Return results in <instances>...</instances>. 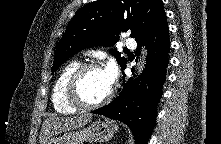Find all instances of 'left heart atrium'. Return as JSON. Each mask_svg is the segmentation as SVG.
Listing matches in <instances>:
<instances>
[{"instance_id": "39dd6f15", "label": "left heart atrium", "mask_w": 221, "mask_h": 144, "mask_svg": "<svg viewBox=\"0 0 221 144\" xmlns=\"http://www.w3.org/2000/svg\"><path fill=\"white\" fill-rule=\"evenodd\" d=\"M103 73L106 79L107 84L111 87L117 77V69L113 62H110L104 69Z\"/></svg>"}]
</instances>
